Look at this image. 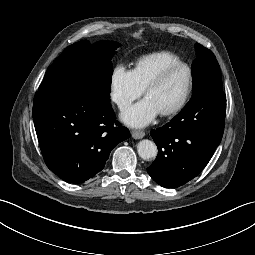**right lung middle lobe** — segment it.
Here are the masks:
<instances>
[{"label":"right lung middle lobe","mask_w":255,"mask_h":255,"mask_svg":"<svg viewBox=\"0 0 255 255\" xmlns=\"http://www.w3.org/2000/svg\"><path fill=\"white\" fill-rule=\"evenodd\" d=\"M119 44L82 40L68 46L48 69L39 91L74 90L102 101H110L113 51Z\"/></svg>","instance_id":"1"}]
</instances>
